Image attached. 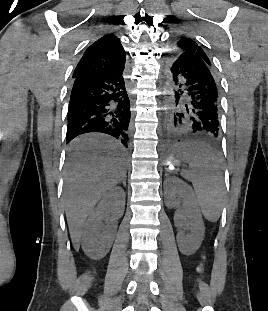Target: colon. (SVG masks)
I'll return each instance as SVG.
<instances>
[{
	"instance_id": "1",
	"label": "colon",
	"mask_w": 268,
	"mask_h": 311,
	"mask_svg": "<svg viewBox=\"0 0 268 311\" xmlns=\"http://www.w3.org/2000/svg\"><path fill=\"white\" fill-rule=\"evenodd\" d=\"M198 271H199V272H203V265H200V266H199Z\"/></svg>"
}]
</instances>
